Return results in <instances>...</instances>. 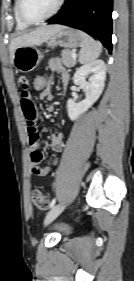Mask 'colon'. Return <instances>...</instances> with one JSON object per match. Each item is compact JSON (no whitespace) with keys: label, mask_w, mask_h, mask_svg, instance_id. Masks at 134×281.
Wrapping results in <instances>:
<instances>
[{"label":"colon","mask_w":134,"mask_h":281,"mask_svg":"<svg viewBox=\"0 0 134 281\" xmlns=\"http://www.w3.org/2000/svg\"><path fill=\"white\" fill-rule=\"evenodd\" d=\"M48 85V80L43 75H36L33 79V88L35 91L42 93ZM32 202L35 207L45 210L48 207V197L39 190L32 193Z\"/></svg>","instance_id":"colon-1"}]
</instances>
